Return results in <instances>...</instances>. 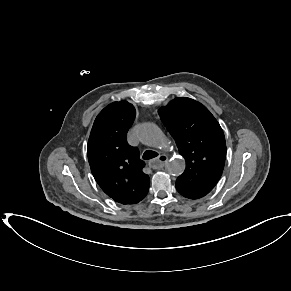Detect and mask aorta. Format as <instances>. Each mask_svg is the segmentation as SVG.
Segmentation results:
<instances>
[{
  "mask_svg": "<svg viewBox=\"0 0 291 291\" xmlns=\"http://www.w3.org/2000/svg\"><path fill=\"white\" fill-rule=\"evenodd\" d=\"M140 141L150 147L165 151L168 148L169 140L162 130L154 123L141 125L138 131ZM186 163L182 157L172 158L166 164V171L171 175H180L185 170Z\"/></svg>",
  "mask_w": 291,
  "mask_h": 291,
  "instance_id": "aorta-1",
  "label": "aorta"
}]
</instances>
